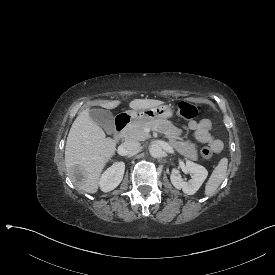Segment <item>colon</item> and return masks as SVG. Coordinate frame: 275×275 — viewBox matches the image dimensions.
<instances>
[{
  "label": "colon",
  "instance_id": "5ec220e1",
  "mask_svg": "<svg viewBox=\"0 0 275 275\" xmlns=\"http://www.w3.org/2000/svg\"><path fill=\"white\" fill-rule=\"evenodd\" d=\"M210 110L211 107L207 103H204L200 106L188 101H181L176 106L175 113L179 118L195 119L201 112L207 114L210 112ZM199 154L204 159H210L212 157V150L209 147H203L200 149Z\"/></svg>",
  "mask_w": 275,
  "mask_h": 275
}]
</instances>
